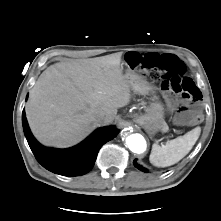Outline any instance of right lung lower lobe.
I'll use <instances>...</instances> for the list:
<instances>
[{"label": "right lung lower lobe", "mask_w": 221, "mask_h": 221, "mask_svg": "<svg viewBox=\"0 0 221 221\" xmlns=\"http://www.w3.org/2000/svg\"><path fill=\"white\" fill-rule=\"evenodd\" d=\"M22 124L28 144L37 161L47 170L64 176H79L89 172L94 166L100 148L119 132L113 126L104 127L96 130L75 147L54 149L42 146L33 137L25 117V110L22 112Z\"/></svg>", "instance_id": "98d812e1"}]
</instances>
